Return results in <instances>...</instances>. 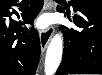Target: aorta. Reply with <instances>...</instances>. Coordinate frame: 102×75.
<instances>
[{
	"mask_svg": "<svg viewBox=\"0 0 102 75\" xmlns=\"http://www.w3.org/2000/svg\"><path fill=\"white\" fill-rule=\"evenodd\" d=\"M63 51L62 37L56 34L47 49L45 57V74L54 75L60 65Z\"/></svg>",
	"mask_w": 102,
	"mask_h": 75,
	"instance_id": "aorta-1",
	"label": "aorta"
}]
</instances>
